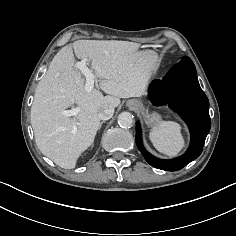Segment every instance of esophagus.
Returning a JSON list of instances; mask_svg holds the SVG:
<instances>
[{"label":"esophagus","mask_w":236,"mask_h":236,"mask_svg":"<svg viewBox=\"0 0 236 236\" xmlns=\"http://www.w3.org/2000/svg\"><path fill=\"white\" fill-rule=\"evenodd\" d=\"M141 103L139 102V101H137V100H133L132 102H131V106L133 107V108H140L141 107Z\"/></svg>","instance_id":"esophagus-1"}]
</instances>
